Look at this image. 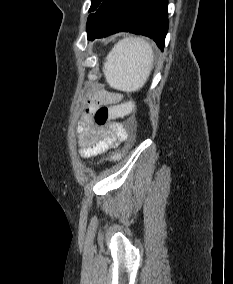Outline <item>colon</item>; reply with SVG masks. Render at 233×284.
Masks as SVG:
<instances>
[{
    "label": "colon",
    "mask_w": 233,
    "mask_h": 284,
    "mask_svg": "<svg viewBox=\"0 0 233 284\" xmlns=\"http://www.w3.org/2000/svg\"><path fill=\"white\" fill-rule=\"evenodd\" d=\"M135 107V101H128L115 106L103 105L95 110L93 114L94 123L99 127H104L111 119L130 115L135 110ZM133 142L134 134L130 133L126 138V145L124 149L119 153L113 155L111 159L116 160L121 158L128 150V148L133 144Z\"/></svg>",
    "instance_id": "1"
}]
</instances>
